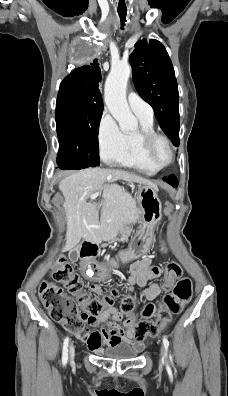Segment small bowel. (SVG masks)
<instances>
[{
	"label": "small bowel",
	"mask_w": 228,
	"mask_h": 396,
	"mask_svg": "<svg viewBox=\"0 0 228 396\" xmlns=\"http://www.w3.org/2000/svg\"><path fill=\"white\" fill-rule=\"evenodd\" d=\"M130 259L131 255L129 253H123L120 256L122 262H127ZM110 270L111 265L108 264H96L85 261L81 265V271L87 277H104L109 274ZM160 273L161 269L158 266L152 265V260L149 256L134 261L130 265V273L127 280L128 292L141 299H155L165 290V286L161 283L150 284L152 280L160 276ZM135 286L142 288V290L136 293ZM91 290L97 295L102 293L101 287L97 284H93ZM108 315L113 317V321L109 323L108 329L102 328L95 331L83 330L82 332L76 333V337L95 353H101L105 345L122 342L129 343L139 351L143 350V341H139L135 338L134 328L128 326L124 329L118 324L117 321L124 317V313L110 307L106 312V316Z\"/></svg>",
	"instance_id": "obj_1"
}]
</instances>
